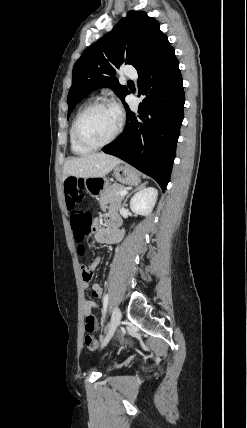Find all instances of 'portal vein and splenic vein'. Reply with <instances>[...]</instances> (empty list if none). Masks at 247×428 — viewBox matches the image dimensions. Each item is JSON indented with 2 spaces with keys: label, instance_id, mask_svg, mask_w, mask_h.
<instances>
[{
  "label": "portal vein and splenic vein",
  "instance_id": "18ae733b",
  "mask_svg": "<svg viewBox=\"0 0 247 428\" xmlns=\"http://www.w3.org/2000/svg\"><path fill=\"white\" fill-rule=\"evenodd\" d=\"M128 193V191L127 190H121L120 192H119V195H121V196H124V195H126Z\"/></svg>",
  "mask_w": 247,
  "mask_h": 428
}]
</instances>
